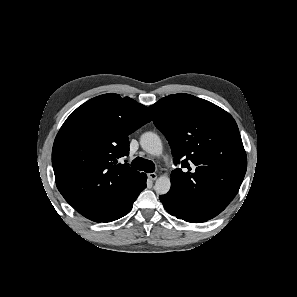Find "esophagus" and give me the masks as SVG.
Masks as SVG:
<instances>
[{"instance_id": "34e87169", "label": "esophagus", "mask_w": 297, "mask_h": 297, "mask_svg": "<svg viewBox=\"0 0 297 297\" xmlns=\"http://www.w3.org/2000/svg\"><path fill=\"white\" fill-rule=\"evenodd\" d=\"M157 174L156 173H149L148 174V178L152 181L156 180L157 179Z\"/></svg>"}]
</instances>
